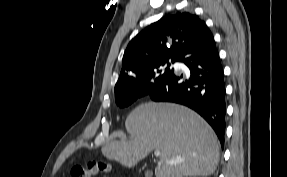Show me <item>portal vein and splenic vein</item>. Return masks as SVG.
<instances>
[{
    "instance_id": "portal-vein-and-splenic-vein-1",
    "label": "portal vein and splenic vein",
    "mask_w": 287,
    "mask_h": 177,
    "mask_svg": "<svg viewBox=\"0 0 287 177\" xmlns=\"http://www.w3.org/2000/svg\"><path fill=\"white\" fill-rule=\"evenodd\" d=\"M154 154H155V156L158 157V156H160V151H159V150H155V153H154ZM168 163H169V164H175V165H176V164H177V161H170V162H168Z\"/></svg>"
}]
</instances>
